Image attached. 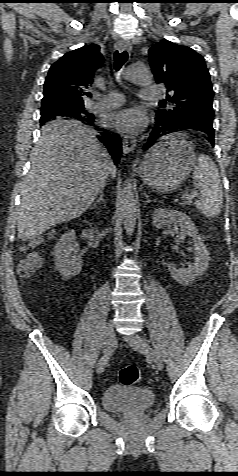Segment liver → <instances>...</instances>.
<instances>
[{"label":"liver","instance_id":"obj_1","mask_svg":"<svg viewBox=\"0 0 238 476\" xmlns=\"http://www.w3.org/2000/svg\"><path fill=\"white\" fill-rule=\"evenodd\" d=\"M22 182L18 238L30 240L81 216L116 175L96 132L77 120H54L42 127Z\"/></svg>","mask_w":238,"mask_h":476}]
</instances>
